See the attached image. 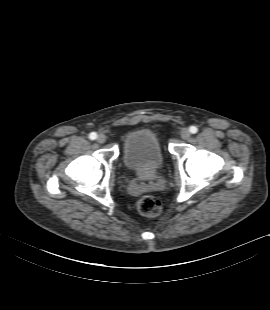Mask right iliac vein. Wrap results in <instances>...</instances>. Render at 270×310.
Instances as JSON below:
<instances>
[{"instance_id": "63e3f726", "label": "right iliac vein", "mask_w": 270, "mask_h": 310, "mask_svg": "<svg viewBox=\"0 0 270 310\" xmlns=\"http://www.w3.org/2000/svg\"><path fill=\"white\" fill-rule=\"evenodd\" d=\"M106 141V136L104 134H100L98 137H97V142L102 144Z\"/></svg>"}]
</instances>
